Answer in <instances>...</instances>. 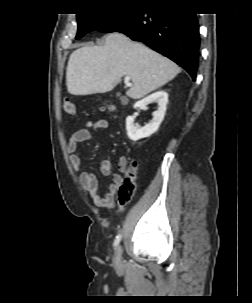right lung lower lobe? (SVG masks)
Masks as SVG:
<instances>
[{
    "mask_svg": "<svg viewBox=\"0 0 252 303\" xmlns=\"http://www.w3.org/2000/svg\"><path fill=\"white\" fill-rule=\"evenodd\" d=\"M99 31L121 32L134 41L143 42L182 66L193 80L196 79L200 46L196 14L172 8L153 12L136 9Z\"/></svg>",
    "mask_w": 252,
    "mask_h": 303,
    "instance_id": "obj_1",
    "label": "right lung lower lobe"
}]
</instances>
